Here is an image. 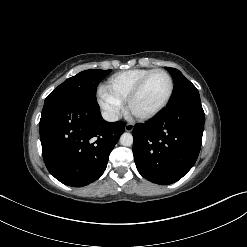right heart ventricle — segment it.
I'll return each mask as SVG.
<instances>
[{
    "label": "right heart ventricle",
    "mask_w": 247,
    "mask_h": 247,
    "mask_svg": "<svg viewBox=\"0 0 247 247\" xmlns=\"http://www.w3.org/2000/svg\"><path fill=\"white\" fill-rule=\"evenodd\" d=\"M151 69H132L111 76L106 83V90L120 102H126L129 94L137 83L148 74Z\"/></svg>",
    "instance_id": "right-heart-ventricle-1"
}]
</instances>
